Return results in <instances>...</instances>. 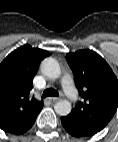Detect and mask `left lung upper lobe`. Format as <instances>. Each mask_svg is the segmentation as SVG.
I'll use <instances>...</instances> for the list:
<instances>
[{
    "instance_id": "left-lung-upper-lobe-1",
    "label": "left lung upper lobe",
    "mask_w": 118,
    "mask_h": 142,
    "mask_svg": "<svg viewBox=\"0 0 118 142\" xmlns=\"http://www.w3.org/2000/svg\"><path fill=\"white\" fill-rule=\"evenodd\" d=\"M81 101L69 114L93 133L101 131L118 107V80L96 52L80 50L66 55Z\"/></svg>"
}]
</instances>
